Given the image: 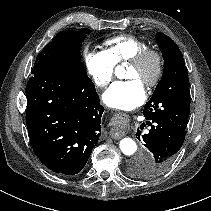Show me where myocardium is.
I'll use <instances>...</instances> for the list:
<instances>
[{"label":"myocardium","mask_w":211,"mask_h":211,"mask_svg":"<svg viewBox=\"0 0 211 211\" xmlns=\"http://www.w3.org/2000/svg\"><path fill=\"white\" fill-rule=\"evenodd\" d=\"M150 59L154 61V73L144 82V85L147 88L155 87L162 78L164 71V59L162 53L157 49L146 47L128 60L129 64L142 66Z\"/></svg>","instance_id":"obj_1"}]
</instances>
